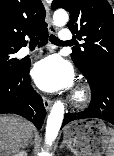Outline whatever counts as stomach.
<instances>
[{
	"mask_svg": "<svg viewBox=\"0 0 114 156\" xmlns=\"http://www.w3.org/2000/svg\"><path fill=\"white\" fill-rule=\"evenodd\" d=\"M64 142L76 156H102L112 134L102 120L81 119L64 128Z\"/></svg>",
	"mask_w": 114,
	"mask_h": 156,
	"instance_id": "0dacf381",
	"label": "stomach"
}]
</instances>
